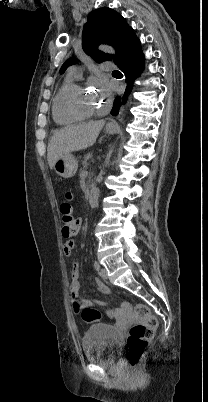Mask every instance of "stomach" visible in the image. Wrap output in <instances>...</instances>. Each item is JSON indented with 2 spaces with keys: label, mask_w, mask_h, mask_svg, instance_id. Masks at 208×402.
<instances>
[{
  "label": "stomach",
  "mask_w": 208,
  "mask_h": 402,
  "mask_svg": "<svg viewBox=\"0 0 208 402\" xmlns=\"http://www.w3.org/2000/svg\"><path fill=\"white\" fill-rule=\"evenodd\" d=\"M117 130H119V128L115 122H110L105 128L107 134H116ZM77 168L78 162L75 156H73V154H67V156L58 158L57 162L54 164L53 170H55L56 174L61 176V178H73L77 172Z\"/></svg>",
  "instance_id": "0dacf381"
}]
</instances>
